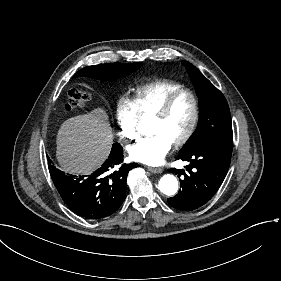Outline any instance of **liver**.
<instances>
[{
    "label": "liver",
    "mask_w": 281,
    "mask_h": 281,
    "mask_svg": "<svg viewBox=\"0 0 281 281\" xmlns=\"http://www.w3.org/2000/svg\"><path fill=\"white\" fill-rule=\"evenodd\" d=\"M113 142L106 112L97 108L89 114L66 120L57 134V160L71 174H91L108 158Z\"/></svg>",
    "instance_id": "obj_1"
}]
</instances>
